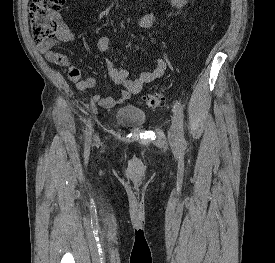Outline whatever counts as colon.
<instances>
[{
  "mask_svg": "<svg viewBox=\"0 0 275 263\" xmlns=\"http://www.w3.org/2000/svg\"><path fill=\"white\" fill-rule=\"evenodd\" d=\"M64 2L65 0H32L30 25L32 38L36 44H45L59 33L61 24L56 13ZM141 100L145 107L151 109L162 107L165 103V97L158 93L143 95Z\"/></svg>",
  "mask_w": 275,
  "mask_h": 263,
  "instance_id": "obj_1",
  "label": "colon"
}]
</instances>
